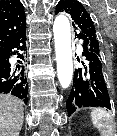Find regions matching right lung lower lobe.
I'll use <instances>...</instances> for the list:
<instances>
[{
	"label": "right lung lower lobe",
	"mask_w": 117,
	"mask_h": 136,
	"mask_svg": "<svg viewBox=\"0 0 117 136\" xmlns=\"http://www.w3.org/2000/svg\"><path fill=\"white\" fill-rule=\"evenodd\" d=\"M26 50V22L5 44L0 48V93H10L27 103L28 83L24 74V54ZM16 55L18 64L9 59Z\"/></svg>",
	"instance_id": "1"
}]
</instances>
